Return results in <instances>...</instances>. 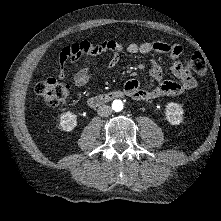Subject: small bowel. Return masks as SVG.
Wrapping results in <instances>:
<instances>
[{"label":"small bowel","mask_w":221,"mask_h":221,"mask_svg":"<svg viewBox=\"0 0 221 221\" xmlns=\"http://www.w3.org/2000/svg\"><path fill=\"white\" fill-rule=\"evenodd\" d=\"M76 48L80 56L98 57L104 53H111L108 67L114 68L120 61V54L127 51L130 54H148L151 52L168 54L172 60L171 71L176 80H163L161 66L154 60L149 62V72L151 77L158 83L154 89H144L140 81L129 80L124 85V91L131 98L138 101H147L165 96H176L196 87L197 82L192 76L189 68L180 60L182 47L179 44L167 43L164 41L130 43L125 46L116 40H107L101 43L82 41L78 44L67 46L65 49ZM62 62H64L60 56ZM93 76L91 65L79 69L74 75L75 85L82 87L89 83ZM63 77V74H60Z\"/></svg>","instance_id":"1"}]
</instances>
